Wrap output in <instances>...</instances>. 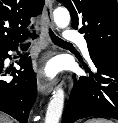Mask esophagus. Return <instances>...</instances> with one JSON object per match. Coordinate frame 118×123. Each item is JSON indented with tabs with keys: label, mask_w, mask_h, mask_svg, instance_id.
I'll return each instance as SVG.
<instances>
[{
	"label": "esophagus",
	"mask_w": 118,
	"mask_h": 123,
	"mask_svg": "<svg viewBox=\"0 0 118 123\" xmlns=\"http://www.w3.org/2000/svg\"><path fill=\"white\" fill-rule=\"evenodd\" d=\"M42 22H43V28H42V34L46 38L47 43L50 44L51 41L48 38V33H47V27H53V16H52V1L51 0H46L45 1V6L42 14ZM37 86L38 90L40 93L44 95H48L52 89H53V82L50 80L46 79L42 72L39 71L38 76H37Z\"/></svg>",
	"instance_id": "obj_1"
}]
</instances>
